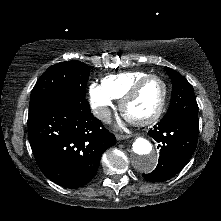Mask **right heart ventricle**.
I'll return each instance as SVG.
<instances>
[{"instance_id": "obj_1", "label": "right heart ventricle", "mask_w": 221, "mask_h": 221, "mask_svg": "<svg viewBox=\"0 0 221 221\" xmlns=\"http://www.w3.org/2000/svg\"><path fill=\"white\" fill-rule=\"evenodd\" d=\"M147 75L149 73L145 71L111 74L102 79V86L113 99H121L139 79Z\"/></svg>"}]
</instances>
